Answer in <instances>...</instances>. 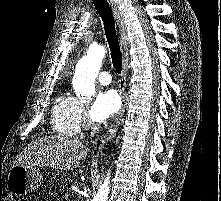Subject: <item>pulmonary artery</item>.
Wrapping results in <instances>:
<instances>
[{
	"mask_svg": "<svg viewBox=\"0 0 221 201\" xmlns=\"http://www.w3.org/2000/svg\"><path fill=\"white\" fill-rule=\"evenodd\" d=\"M98 81L102 85H109L111 83V75L108 71H102L98 76Z\"/></svg>",
	"mask_w": 221,
	"mask_h": 201,
	"instance_id": "1",
	"label": "pulmonary artery"
}]
</instances>
